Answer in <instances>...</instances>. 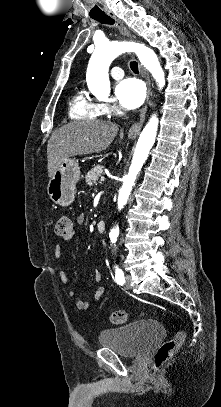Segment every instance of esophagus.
Listing matches in <instances>:
<instances>
[{
	"label": "esophagus",
	"instance_id": "34e87169",
	"mask_svg": "<svg viewBox=\"0 0 221 407\" xmlns=\"http://www.w3.org/2000/svg\"><path fill=\"white\" fill-rule=\"evenodd\" d=\"M106 14L120 25V30H121L122 33H124L125 35H130L128 30L126 29V27L123 25V23L120 20H118L116 18V16L111 11H106ZM140 70H141V73H142L143 77L146 80V83H147V87H148V89H147V98H146V101H145V105L141 109L139 121L134 123L130 127V129L128 131V136L129 137H134L140 132V130H141L143 124H144V121H145V114H146V111H147V105L150 102L149 99H150V96L152 95V92H151V79H150L149 73L141 65H140Z\"/></svg>",
	"mask_w": 221,
	"mask_h": 407
}]
</instances>
